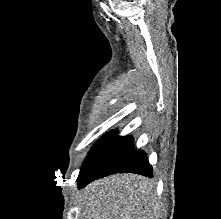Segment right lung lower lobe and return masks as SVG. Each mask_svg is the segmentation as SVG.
Wrapping results in <instances>:
<instances>
[{"label": "right lung lower lobe", "instance_id": "98d812e1", "mask_svg": "<svg viewBox=\"0 0 221 219\" xmlns=\"http://www.w3.org/2000/svg\"><path fill=\"white\" fill-rule=\"evenodd\" d=\"M125 172L153 177L145 152L135 150L133 138L119 137L116 132H111L102 137L88 154L77 179L78 188L97 178Z\"/></svg>", "mask_w": 221, "mask_h": 219}]
</instances>
